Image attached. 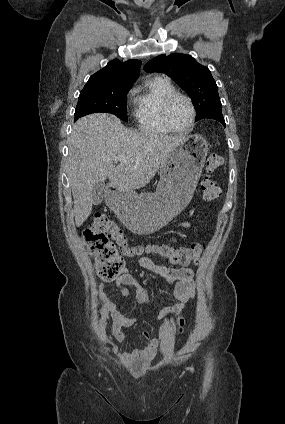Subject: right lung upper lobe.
<instances>
[{
  "instance_id": "obj_1",
  "label": "right lung upper lobe",
  "mask_w": 285,
  "mask_h": 424,
  "mask_svg": "<svg viewBox=\"0 0 285 424\" xmlns=\"http://www.w3.org/2000/svg\"><path fill=\"white\" fill-rule=\"evenodd\" d=\"M140 66L141 61L139 60L133 59L121 62L118 59H114L106 67L93 74L84 89L133 85L139 76Z\"/></svg>"
}]
</instances>
